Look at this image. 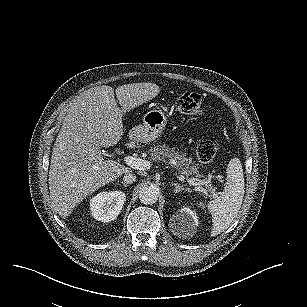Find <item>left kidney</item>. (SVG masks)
Here are the masks:
<instances>
[{
    "label": "left kidney",
    "instance_id": "left-kidney-1",
    "mask_svg": "<svg viewBox=\"0 0 307 307\" xmlns=\"http://www.w3.org/2000/svg\"><path fill=\"white\" fill-rule=\"evenodd\" d=\"M172 219L175 222L174 228H172L173 234L185 239L193 237L200 224L197 212L187 204L174 213Z\"/></svg>",
    "mask_w": 307,
    "mask_h": 307
}]
</instances>
